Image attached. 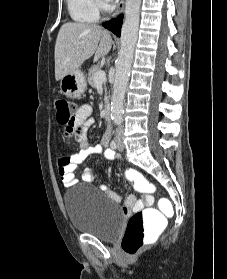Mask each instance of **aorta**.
<instances>
[{"instance_id": "1", "label": "aorta", "mask_w": 227, "mask_h": 279, "mask_svg": "<svg viewBox=\"0 0 227 279\" xmlns=\"http://www.w3.org/2000/svg\"><path fill=\"white\" fill-rule=\"evenodd\" d=\"M141 0H126L125 19L121 30V49L116 60V73L111 98V118L120 125L124 113V97L138 38Z\"/></svg>"}]
</instances>
